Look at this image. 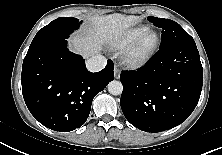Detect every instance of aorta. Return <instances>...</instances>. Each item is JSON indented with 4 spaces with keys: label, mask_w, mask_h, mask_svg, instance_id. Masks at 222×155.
Listing matches in <instances>:
<instances>
[{
    "label": "aorta",
    "mask_w": 222,
    "mask_h": 155,
    "mask_svg": "<svg viewBox=\"0 0 222 155\" xmlns=\"http://www.w3.org/2000/svg\"><path fill=\"white\" fill-rule=\"evenodd\" d=\"M108 91L112 95H120L123 91V85L120 81L113 80L108 84Z\"/></svg>",
    "instance_id": "aorta-1"
}]
</instances>
